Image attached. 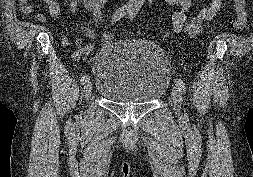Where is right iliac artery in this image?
<instances>
[{
    "instance_id": "82829eb1",
    "label": "right iliac artery",
    "mask_w": 253,
    "mask_h": 177,
    "mask_svg": "<svg viewBox=\"0 0 253 177\" xmlns=\"http://www.w3.org/2000/svg\"><path fill=\"white\" fill-rule=\"evenodd\" d=\"M134 7L132 4H126L124 6H122L121 8H119L112 16V24L116 21H118L120 18H122L123 16H125L127 13H129L131 10H133ZM90 80V75L89 74H84L80 80L81 85L86 84L87 82H89Z\"/></svg>"
}]
</instances>
